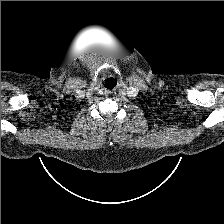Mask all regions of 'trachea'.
I'll return each mask as SVG.
<instances>
[{
    "label": "trachea",
    "mask_w": 224,
    "mask_h": 224,
    "mask_svg": "<svg viewBox=\"0 0 224 224\" xmlns=\"http://www.w3.org/2000/svg\"><path fill=\"white\" fill-rule=\"evenodd\" d=\"M116 85H117V81H116L114 78H112V77H110V78H108V79H105V81H104V86H105L106 88H108V89H112V88H114Z\"/></svg>",
    "instance_id": "3493384b"
}]
</instances>
